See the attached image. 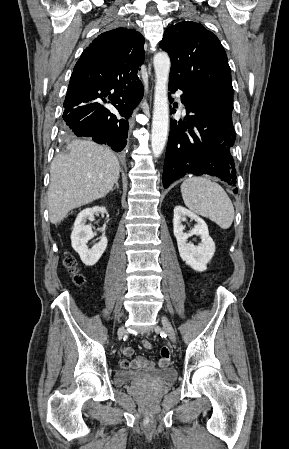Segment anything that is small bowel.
<instances>
[{
  "instance_id": "small-bowel-1",
  "label": "small bowel",
  "mask_w": 289,
  "mask_h": 449,
  "mask_svg": "<svg viewBox=\"0 0 289 449\" xmlns=\"http://www.w3.org/2000/svg\"><path fill=\"white\" fill-rule=\"evenodd\" d=\"M123 354L126 357H130L133 354L132 347H124ZM170 349L167 346L162 347L159 351V366L161 369H170L171 361L170 359ZM119 365L122 369H152L154 367V362L145 357H136L133 360L121 359Z\"/></svg>"
}]
</instances>
